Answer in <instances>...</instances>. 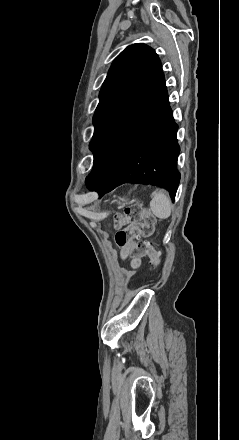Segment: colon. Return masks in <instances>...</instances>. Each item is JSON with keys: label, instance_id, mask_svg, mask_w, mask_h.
Listing matches in <instances>:
<instances>
[{"label": "colon", "instance_id": "colon-1", "mask_svg": "<svg viewBox=\"0 0 239 440\" xmlns=\"http://www.w3.org/2000/svg\"><path fill=\"white\" fill-rule=\"evenodd\" d=\"M114 227L117 230L115 239L119 246L133 241L136 235L147 238L152 235L155 217L143 206L134 204L125 209L124 214L114 217ZM132 257H149L155 265L160 264V252L155 250L146 240L134 243L131 248Z\"/></svg>", "mask_w": 239, "mask_h": 440}]
</instances>
